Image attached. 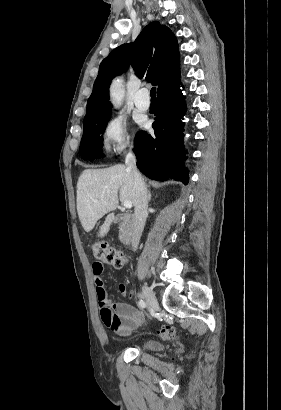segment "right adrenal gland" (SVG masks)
I'll return each instance as SVG.
<instances>
[{
	"label": "right adrenal gland",
	"instance_id": "obj_1",
	"mask_svg": "<svg viewBox=\"0 0 281 410\" xmlns=\"http://www.w3.org/2000/svg\"><path fill=\"white\" fill-rule=\"evenodd\" d=\"M148 199L151 200V194H150V192L148 193Z\"/></svg>",
	"mask_w": 281,
	"mask_h": 410
}]
</instances>
